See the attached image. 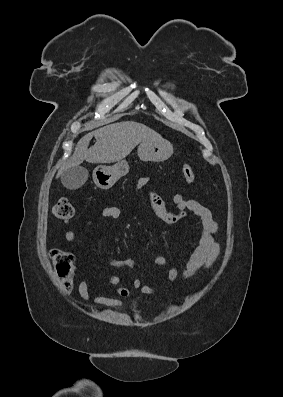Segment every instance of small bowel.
Listing matches in <instances>:
<instances>
[{
  "label": "small bowel",
  "mask_w": 283,
  "mask_h": 397,
  "mask_svg": "<svg viewBox=\"0 0 283 397\" xmlns=\"http://www.w3.org/2000/svg\"><path fill=\"white\" fill-rule=\"evenodd\" d=\"M150 182V178L141 177L136 188L140 189ZM150 205L155 214L168 224H174L183 219L187 211L192 212L199 221L200 237L199 242L187 261L185 262L184 269L180 273L175 267H171L167 272V281L173 282L180 276L189 278L196 273L209 269L215 262L219 254V244L215 239V233L217 232L218 225L213 218L209 209L204 207L198 201L193 199H184L180 194L173 196V202L178 212L170 211L162 198L154 192H150ZM120 208L118 206H111L104 208L100 212V217L104 219L115 220L120 217ZM92 220L85 221L80 231L91 225ZM77 233L75 231H67L65 234V240L68 243H72L76 240ZM167 259L163 256H158L154 259V264L163 266L167 264ZM108 265L113 268H133L134 261L130 258L125 259H113L108 261ZM108 283L115 286L116 292L121 297H127L130 295V290L122 285V280L118 276H110ZM134 289H140L144 294L151 295L154 293L153 286L151 284H142L139 279H135L132 282ZM78 292L80 296L86 300L91 301L94 304L102 305L106 307L119 310L123 307V301L120 298L107 297V296H96L91 297L89 292V286L87 280H82L78 285Z\"/></svg>",
  "instance_id": "c3829d8e"
}]
</instances>
